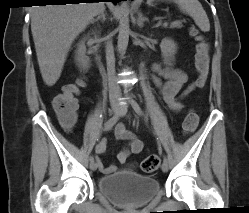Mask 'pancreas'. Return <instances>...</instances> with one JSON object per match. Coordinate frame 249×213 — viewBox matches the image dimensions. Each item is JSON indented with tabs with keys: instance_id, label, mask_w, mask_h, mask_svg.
Listing matches in <instances>:
<instances>
[{
	"instance_id": "1",
	"label": "pancreas",
	"mask_w": 249,
	"mask_h": 213,
	"mask_svg": "<svg viewBox=\"0 0 249 213\" xmlns=\"http://www.w3.org/2000/svg\"><path fill=\"white\" fill-rule=\"evenodd\" d=\"M182 23L180 21H174L171 23L170 28H181Z\"/></svg>"
}]
</instances>
